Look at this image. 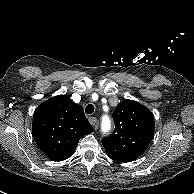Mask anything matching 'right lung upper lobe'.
I'll return each instance as SVG.
<instances>
[{
	"label": "right lung upper lobe",
	"instance_id": "cb5924a9",
	"mask_svg": "<svg viewBox=\"0 0 194 194\" xmlns=\"http://www.w3.org/2000/svg\"><path fill=\"white\" fill-rule=\"evenodd\" d=\"M93 132L83 108L68 95L55 96L37 107L32 135L38 147L53 161L73 155L78 141Z\"/></svg>",
	"mask_w": 194,
	"mask_h": 194
}]
</instances>
